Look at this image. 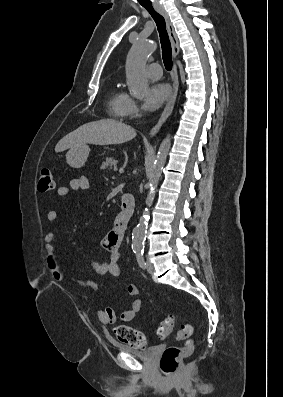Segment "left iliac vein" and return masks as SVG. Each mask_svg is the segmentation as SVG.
I'll use <instances>...</instances> for the list:
<instances>
[{"label":"left iliac vein","instance_id":"1","mask_svg":"<svg viewBox=\"0 0 283 397\" xmlns=\"http://www.w3.org/2000/svg\"><path fill=\"white\" fill-rule=\"evenodd\" d=\"M146 269H147V271H148L150 274L153 273L154 267H153V265H152L151 262H149V261L146 262Z\"/></svg>","mask_w":283,"mask_h":397}]
</instances>
